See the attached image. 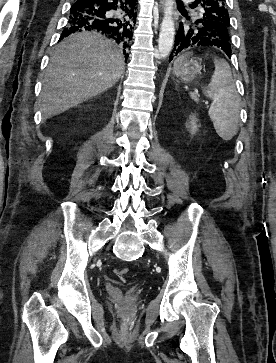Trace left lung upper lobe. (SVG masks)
I'll use <instances>...</instances> for the list:
<instances>
[{"instance_id": "5c2ea615", "label": "left lung upper lobe", "mask_w": 276, "mask_h": 363, "mask_svg": "<svg viewBox=\"0 0 276 363\" xmlns=\"http://www.w3.org/2000/svg\"><path fill=\"white\" fill-rule=\"evenodd\" d=\"M196 4H200L204 11L202 18L194 23L201 25L206 21L210 26L209 30L231 46L229 36L230 19L224 0H196Z\"/></svg>"}]
</instances>
